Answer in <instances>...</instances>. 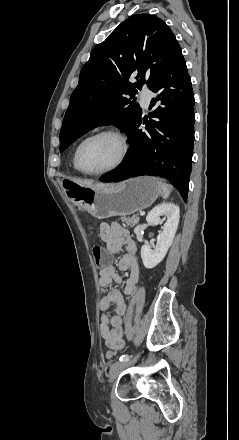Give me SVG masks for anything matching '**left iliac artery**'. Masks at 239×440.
<instances>
[{
    "instance_id": "left-iliac-artery-1",
    "label": "left iliac artery",
    "mask_w": 239,
    "mask_h": 440,
    "mask_svg": "<svg viewBox=\"0 0 239 440\" xmlns=\"http://www.w3.org/2000/svg\"><path fill=\"white\" fill-rule=\"evenodd\" d=\"M129 360V355H127V354H124V355H122L121 357H120V359H119V361H128Z\"/></svg>"
}]
</instances>
